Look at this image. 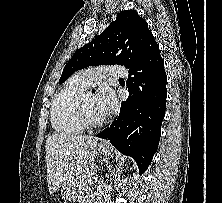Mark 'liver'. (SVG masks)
I'll list each match as a JSON object with an SVG mask.
<instances>
[{"label":"liver","mask_w":222,"mask_h":203,"mask_svg":"<svg viewBox=\"0 0 222 203\" xmlns=\"http://www.w3.org/2000/svg\"><path fill=\"white\" fill-rule=\"evenodd\" d=\"M98 139L54 133L46 139L47 182L50 194L94 168Z\"/></svg>","instance_id":"liver-1"}]
</instances>
